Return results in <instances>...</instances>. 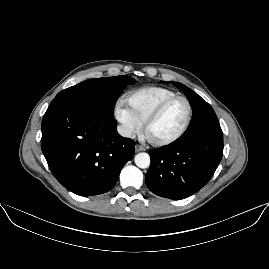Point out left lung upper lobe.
Returning a JSON list of instances; mask_svg holds the SVG:
<instances>
[{
  "label": "left lung upper lobe",
  "instance_id": "left-lung-upper-lobe-1",
  "mask_svg": "<svg viewBox=\"0 0 269 269\" xmlns=\"http://www.w3.org/2000/svg\"><path fill=\"white\" fill-rule=\"evenodd\" d=\"M173 85L184 92L193 110L191 123L187 131L180 138L189 139L201 133L221 131L213 108L205 100L182 83L174 82Z\"/></svg>",
  "mask_w": 269,
  "mask_h": 269
}]
</instances>
